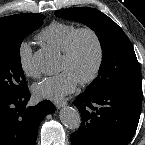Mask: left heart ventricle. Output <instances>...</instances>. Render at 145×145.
<instances>
[{"mask_svg": "<svg viewBox=\"0 0 145 145\" xmlns=\"http://www.w3.org/2000/svg\"><path fill=\"white\" fill-rule=\"evenodd\" d=\"M96 61V48L92 38L84 34L79 38L74 57L67 61L61 57L59 71L68 70L80 81L87 77Z\"/></svg>", "mask_w": 145, "mask_h": 145, "instance_id": "1", "label": "left heart ventricle"}]
</instances>
